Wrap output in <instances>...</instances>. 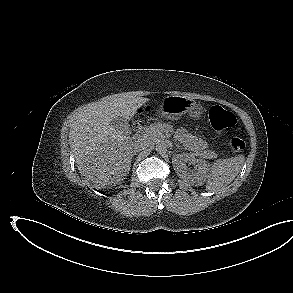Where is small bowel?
<instances>
[{"label":"small bowel","instance_id":"c3829d8e","mask_svg":"<svg viewBox=\"0 0 293 293\" xmlns=\"http://www.w3.org/2000/svg\"><path fill=\"white\" fill-rule=\"evenodd\" d=\"M180 137L181 139L187 143V145H189L190 147L192 148H203L205 147V142L200 140V139H197L193 136H191L190 134L186 133V132H183L181 131L180 132Z\"/></svg>","mask_w":293,"mask_h":293}]
</instances>
